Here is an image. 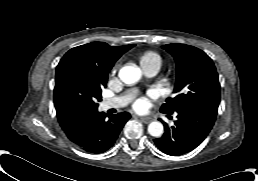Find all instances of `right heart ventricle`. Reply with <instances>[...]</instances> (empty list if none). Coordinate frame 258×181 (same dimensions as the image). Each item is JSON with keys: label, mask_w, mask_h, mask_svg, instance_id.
Instances as JSON below:
<instances>
[{"label": "right heart ventricle", "mask_w": 258, "mask_h": 181, "mask_svg": "<svg viewBox=\"0 0 258 181\" xmlns=\"http://www.w3.org/2000/svg\"><path fill=\"white\" fill-rule=\"evenodd\" d=\"M139 62L144 71L152 67L160 68L162 64V57L155 51L147 50L139 56Z\"/></svg>", "instance_id": "obj_1"}]
</instances>
